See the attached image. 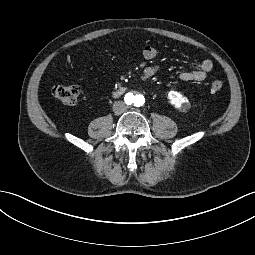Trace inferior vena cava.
I'll return each mask as SVG.
<instances>
[{
	"label": "inferior vena cava",
	"mask_w": 255,
	"mask_h": 255,
	"mask_svg": "<svg viewBox=\"0 0 255 255\" xmlns=\"http://www.w3.org/2000/svg\"><path fill=\"white\" fill-rule=\"evenodd\" d=\"M126 110H127V106L125 105V103L123 101H117L113 105V111L117 115L122 114Z\"/></svg>",
	"instance_id": "1"
}]
</instances>
